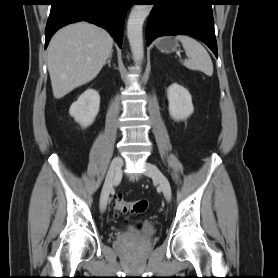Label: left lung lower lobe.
<instances>
[{
    "label": "left lung lower lobe",
    "instance_id": "obj_1",
    "mask_svg": "<svg viewBox=\"0 0 278 278\" xmlns=\"http://www.w3.org/2000/svg\"><path fill=\"white\" fill-rule=\"evenodd\" d=\"M147 22L149 45L160 36L188 34L204 42L218 57L212 14L213 0H150Z\"/></svg>",
    "mask_w": 278,
    "mask_h": 278
}]
</instances>
